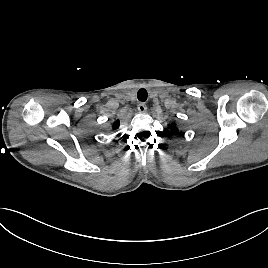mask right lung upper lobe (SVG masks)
Segmentation results:
<instances>
[{
    "mask_svg": "<svg viewBox=\"0 0 268 268\" xmlns=\"http://www.w3.org/2000/svg\"><path fill=\"white\" fill-rule=\"evenodd\" d=\"M119 120H116L114 123H113V129H117L119 127Z\"/></svg>",
    "mask_w": 268,
    "mask_h": 268,
    "instance_id": "1",
    "label": "right lung upper lobe"
}]
</instances>
